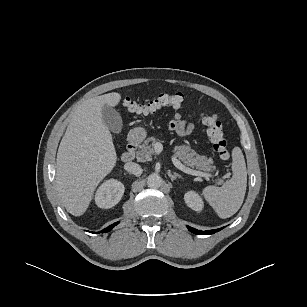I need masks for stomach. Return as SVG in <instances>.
I'll use <instances>...</instances> for the list:
<instances>
[{
  "label": "stomach",
  "instance_id": "obj_1",
  "mask_svg": "<svg viewBox=\"0 0 307 307\" xmlns=\"http://www.w3.org/2000/svg\"><path fill=\"white\" fill-rule=\"evenodd\" d=\"M132 134L135 138H143L146 135V132L143 128H136L132 131Z\"/></svg>",
  "mask_w": 307,
  "mask_h": 307
}]
</instances>
